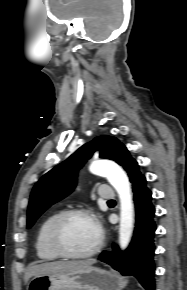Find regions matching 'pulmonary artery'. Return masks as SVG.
<instances>
[{
    "label": "pulmonary artery",
    "instance_id": "pulmonary-artery-1",
    "mask_svg": "<svg viewBox=\"0 0 187 290\" xmlns=\"http://www.w3.org/2000/svg\"><path fill=\"white\" fill-rule=\"evenodd\" d=\"M99 197L103 200L110 201L115 199L116 194L113 190L107 187H101L99 189Z\"/></svg>",
    "mask_w": 187,
    "mask_h": 290
}]
</instances>
